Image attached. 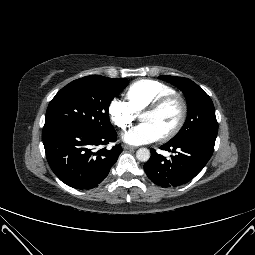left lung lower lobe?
Returning a JSON list of instances; mask_svg holds the SVG:
<instances>
[{"mask_svg":"<svg viewBox=\"0 0 255 255\" xmlns=\"http://www.w3.org/2000/svg\"><path fill=\"white\" fill-rule=\"evenodd\" d=\"M175 153L170 159L151 149V157L144 165L148 178L162 187L179 186L193 179L210 159L214 145L203 141L171 143L160 147Z\"/></svg>","mask_w":255,"mask_h":255,"instance_id":"obj_1","label":"left lung lower lobe"}]
</instances>
